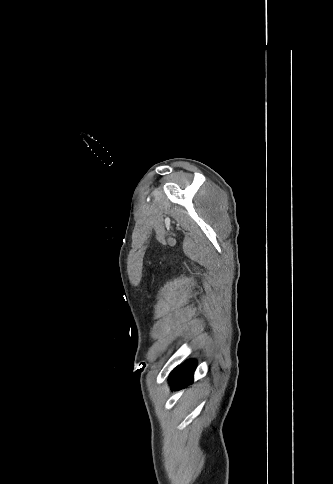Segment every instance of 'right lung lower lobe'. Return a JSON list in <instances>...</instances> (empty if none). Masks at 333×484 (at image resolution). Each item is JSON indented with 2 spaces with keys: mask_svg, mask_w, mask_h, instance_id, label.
Returning <instances> with one entry per match:
<instances>
[{
  "mask_svg": "<svg viewBox=\"0 0 333 484\" xmlns=\"http://www.w3.org/2000/svg\"><path fill=\"white\" fill-rule=\"evenodd\" d=\"M195 368L196 362L193 360H189L178 366L169 378L172 388L177 389L182 385L188 384L193 378Z\"/></svg>",
  "mask_w": 333,
  "mask_h": 484,
  "instance_id": "obj_1",
  "label": "right lung lower lobe"
}]
</instances>
